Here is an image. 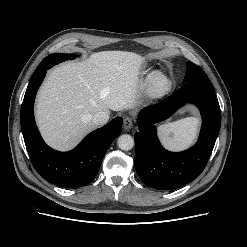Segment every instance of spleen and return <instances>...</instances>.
Listing matches in <instances>:
<instances>
[{"mask_svg": "<svg viewBox=\"0 0 247 247\" xmlns=\"http://www.w3.org/2000/svg\"><path fill=\"white\" fill-rule=\"evenodd\" d=\"M199 119L187 117L159 127V137L169 150H183L193 144L197 136Z\"/></svg>", "mask_w": 247, "mask_h": 247, "instance_id": "1", "label": "spleen"}]
</instances>
